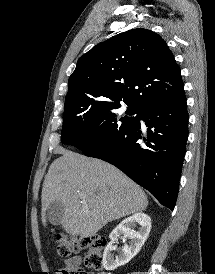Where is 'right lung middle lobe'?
I'll list each match as a JSON object with an SVG mask.
<instances>
[{
	"mask_svg": "<svg viewBox=\"0 0 215 274\" xmlns=\"http://www.w3.org/2000/svg\"><path fill=\"white\" fill-rule=\"evenodd\" d=\"M124 103L125 113L120 110V101L65 102L61 142L85 152L124 132L137 120L130 115L140 110Z\"/></svg>",
	"mask_w": 215,
	"mask_h": 274,
	"instance_id": "dd1d6c3e",
	"label": "right lung middle lobe"
}]
</instances>
